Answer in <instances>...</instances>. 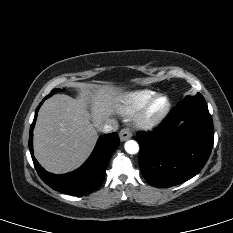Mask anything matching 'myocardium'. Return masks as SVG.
Wrapping results in <instances>:
<instances>
[{
  "mask_svg": "<svg viewBox=\"0 0 233 233\" xmlns=\"http://www.w3.org/2000/svg\"><path fill=\"white\" fill-rule=\"evenodd\" d=\"M163 99L165 101L164 108L156 115L151 114V109L155 102ZM171 109V102L164 94H155L151 97L135 115V123L143 129H151L158 126L167 117Z\"/></svg>",
  "mask_w": 233,
  "mask_h": 233,
  "instance_id": "f54148a6",
  "label": "myocardium"
}]
</instances>
